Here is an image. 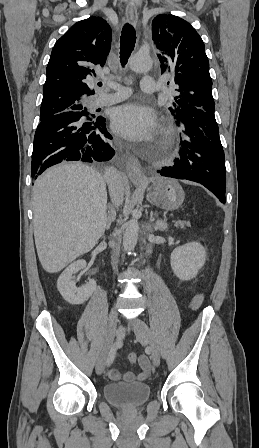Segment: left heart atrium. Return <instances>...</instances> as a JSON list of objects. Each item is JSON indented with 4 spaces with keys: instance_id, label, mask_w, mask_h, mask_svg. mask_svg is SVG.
Here are the masks:
<instances>
[{
    "instance_id": "1",
    "label": "left heart atrium",
    "mask_w": 259,
    "mask_h": 448,
    "mask_svg": "<svg viewBox=\"0 0 259 448\" xmlns=\"http://www.w3.org/2000/svg\"><path fill=\"white\" fill-rule=\"evenodd\" d=\"M112 128L129 140L142 141L156 132L157 117L154 110L145 104L129 102L113 112Z\"/></svg>"
}]
</instances>
